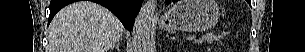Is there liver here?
Listing matches in <instances>:
<instances>
[{
	"label": "liver",
	"instance_id": "obj_1",
	"mask_svg": "<svg viewBox=\"0 0 305 52\" xmlns=\"http://www.w3.org/2000/svg\"><path fill=\"white\" fill-rule=\"evenodd\" d=\"M124 27L105 7L79 1L61 9L52 20L48 52H107Z\"/></svg>",
	"mask_w": 305,
	"mask_h": 52
}]
</instances>
